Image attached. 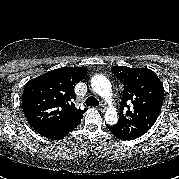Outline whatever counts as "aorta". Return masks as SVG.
<instances>
[{
	"label": "aorta",
	"mask_w": 179,
	"mask_h": 179,
	"mask_svg": "<svg viewBox=\"0 0 179 179\" xmlns=\"http://www.w3.org/2000/svg\"><path fill=\"white\" fill-rule=\"evenodd\" d=\"M91 87L95 93L106 100H109L112 96L111 83L103 75L93 76L91 79ZM105 121L110 125H113L117 122L116 109L112 108L105 114Z\"/></svg>",
	"instance_id": "762f6f07"
}]
</instances>
